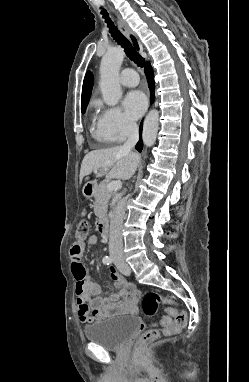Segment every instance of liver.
<instances>
[{"label": "liver", "mask_w": 249, "mask_h": 382, "mask_svg": "<svg viewBox=\"0 0 249 382\" xmlns=\"http://www.w3.org/2000/svg\"><path fill=\"white\" fill-rule=\"evenodd\" d=\"M139 162V154L125 151L121 146L94 150L83 158L80 181L97 170H100L97 177L107 173L108 178L127 180L135 173Z\"/></svg>", "instance_id": "liver-1"}]
</instances>
